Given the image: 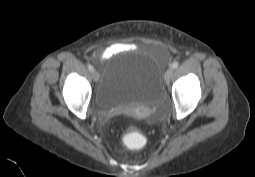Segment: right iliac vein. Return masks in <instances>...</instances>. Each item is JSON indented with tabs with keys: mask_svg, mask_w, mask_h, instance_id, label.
<instances>
[{
	"mask_svg": "<svg viewBox=\"0 0 255 177\" xmlns=\"http://www.w3.org/2000/svg\"><path fill=\"white\" fill-rule=\"evenodd\" d=\"M92 78H93V80H94L95 82H98V80H99V73L96 72V71H93V72H92Z\"/></svg>",
	"mask_w": 255,
	"mask_h": 177,
	"instance_id": "right-iliac-vein-1",
	"label": "right iliac vein"
}]
</instances>
